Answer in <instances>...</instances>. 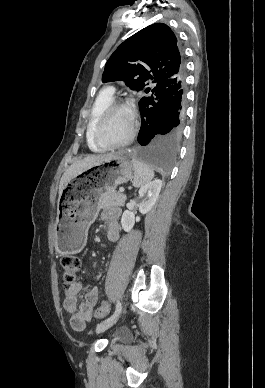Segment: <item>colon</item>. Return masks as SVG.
<instances>
[{
  "instance_id": "colon-1",
  "label": "colon",
  "mask_w": 265,
  "mask_h": 388,
  "mask_svg": "<svg viewBox=\"0 0 265 388\" xmlns=\"http://www.w3.org/2000/svg\"><path fill=\"white\" fill-rule=\"evenodd\" d=\"M61 265L63 268V281L66 288L70 287L75 283L78 272L80 270L81 262L80 259L75 255H67L62 261ZM109 313V306L103 302L99 307L94 310V316L101 318Z\"/></svg>"
}]
</instances>
